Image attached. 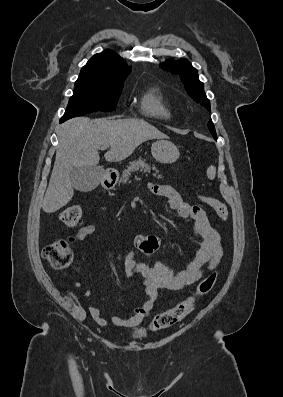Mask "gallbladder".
I'll use <instances>...</instances> for the list:
<instances>
[{
	"instance_id": "obj_1",
	"label": "gallbladder",
	"mask_w": 283,
	"mask_h": 397,
	"mask_svg": "<svg viewBox=\"0 0 283 397\" xmlns=\"http://www.w3.org/2000/svg\"><path fill=\"white\" fill-rule=\"evenodd\" d=\"M103 169L92 166H75L70 173L72 186L81 192H90L100 183Z\"/></svg>"
}]
</instances>
